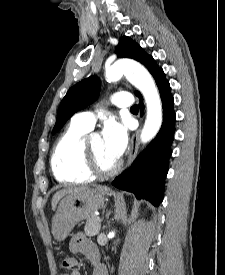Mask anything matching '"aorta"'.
I'll use <instances>...</instances> for the list:
<instances>
[{"label":"aorta","instance_id":"1","mask_svg":"<svg viewBox=\"0 0 225 275\" xmlns=\"http://www.w3.org/2000/svg\"><path fill=\"white\" fill-rule=\"evenodd\" d=\"M123 75L145 99L147 115L140 139L142 143L149 142L156 136L163 122L162 103L155 81L142 65L133 61H118L105 72L108 82L118 81Z\"/></svg>","mask_w":225,"mask_h":275}]
</instances>
